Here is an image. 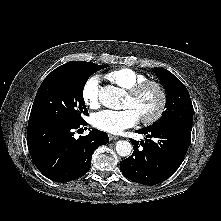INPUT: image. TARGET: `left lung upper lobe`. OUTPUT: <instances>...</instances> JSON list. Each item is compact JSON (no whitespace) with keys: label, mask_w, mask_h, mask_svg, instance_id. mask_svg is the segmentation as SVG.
<instances>
[{"label":"left lung upper lobe","mask_w":221,"mask_h":221,"mask_svg":"<svg viewBox=\"0 0 221 221\" xmlns=\"http://www.w3.org/2000/svg\"><path fill=\"white\" fill-rule=\"evenodd\" d=\"M155 73L166 91V110L159 120L146 128L177 127L191 130L193 106L187 88L176 76L164 68H155Z\"/></svg>","instance_id":"5c2ea615"}]
</instances>
